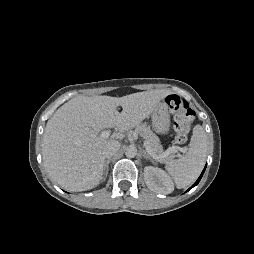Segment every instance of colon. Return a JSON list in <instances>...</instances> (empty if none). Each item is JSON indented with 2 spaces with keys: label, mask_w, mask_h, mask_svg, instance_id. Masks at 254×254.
<instances>
[{
  "label": "colon",
  "mask_w": 254,
  "mask_h": 254,
  "mask_svg": "<svg viewBox=\"0 0 254 254\" xmlns=\"http://www.w3.org/2000/svg\"><path fill=\"white\" fill-rule=\"evenodd\" d=\"M170 110L174 114L173 136L178 144H183L191 130L195 113L188 102L177 95H169L166 98Z\"/></svg>",
  "instance_id": "1"
}]
</instances>
